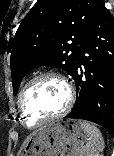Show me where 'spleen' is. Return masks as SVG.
Segmentation results:
<instances>
[{
	"instance_id": "3e777b00",
	"label": "spleen",
	"mask_w": 114,
	"mask_h": 156,
	"mask_svg": "<svg viewBox=\"0 0 114 156\" xmlns=\"http://www.w3.org/2000/svg\"><path fill=\"white\" fill-rule=\"evenodd\" d=\"M81 126L88 136V142L80 150V156H88L90 154H99L104 149V140L101 132L97 127L87 121H81Z\"/></svg>"
}]
</instances>
